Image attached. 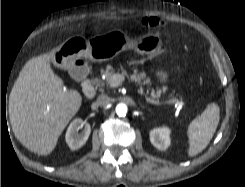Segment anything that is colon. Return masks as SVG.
<instances>
[{
	"label": "colon",
	"instance_id": "1",
	"mask_svg": "<svg viewBox=\"0 0 245 187\" xmlns=\"http://www.w3.org/2000/svg\"><path fill=\"white\" fill-rule=\"evenodd\" d=\"M139 25L147 28H155L162 25V21L155 17H145L140 20Z\"/></svg>",
	"mask_w": 245,
	"mask_h": 187
}]
</instances>
